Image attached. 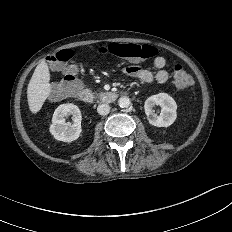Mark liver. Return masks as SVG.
Wrapping results in <instances>:
<instances>
[{
    "label": "liver",
    "instance_id": "liver-1",
    "mask_svg": "<svg viewBox=\"0 0 232 232\" xmlns=\"http://www.w3.org/2000/svg\"><path fill=\"white\" fill-rule=\"evenodd\" d=\"M50 72L47 63L41 61L34 70L27 87L29 109L37 113L51 92Z\"/></svg>",
    "mask_w": 232,
    "mask_h": 232
}]
</instances>
